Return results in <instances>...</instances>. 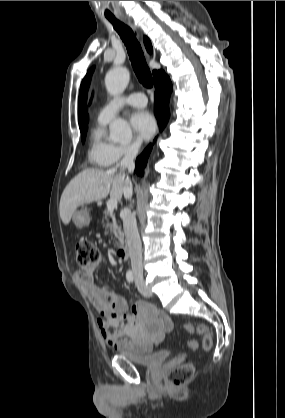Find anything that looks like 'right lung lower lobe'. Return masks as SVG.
Listing matches in <instances>:
<instances>
[{"mask_svg": "<svg viewBox=\"0 0 285 418\" xmlns=\"http://www.w3.org/2000/svg\"><path fill=\"white\" fill-rule=\"evenodd\" d=\"M172 83L170 78L164 73L160 76L159 81L155 84V115L159 124L160 131L166 126L170 112H169V98L172 92ZM152 149V144L137 157L135 163V172L138 175H143L144 167L146 166L149 154Z\"/></svg>", "mask_w": 285, "mask_h": 418, "instance_id": "98d812e1", "label": "right lung lower lobe"}]
</instances>
